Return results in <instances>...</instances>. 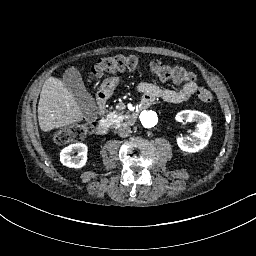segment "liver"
<instances>
[{
	"instance_id": "obj_1",
	"label": "liver",
	"mask_w": 256,
	"mask_h": 256,
	"mask_svg": "<svg viewBox=\"0 0 256 256\" xmlns=\"http://www.w3.org/2000/svg\"><path fill=\"white\" fill-rule=\"evenodd\" d=\"M38 124L43 132L69 127L84 116L74 95L57 77L49 76L42 86L38 103Z\"/></svg>"
}]
</instances>
